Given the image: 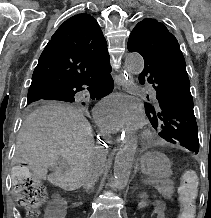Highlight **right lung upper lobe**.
Wrapping results in <instances>:
<instances>
[{"instance_id":"obj_1","label":"right lung upper lobe","mask_w":211,"mask_h":218,"mask_svg":"<svg viewBox=\"0 0 211 218\" xmlns=\"http://www.w3.org/2000/svg\"><path fill=\"white\" fill-rule=\"evenodd\" d=\"M107 43L89 14L66 20L43 50L32 76L28 101L49 96L109 63Z\"/></svg>"}]
</instances>
